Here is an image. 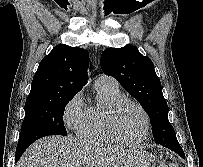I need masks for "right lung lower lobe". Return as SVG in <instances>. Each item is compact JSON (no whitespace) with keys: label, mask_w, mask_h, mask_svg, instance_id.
Returning a JSON list of instances; mask_svg holds the SVG:
<instances>
[{"label":"right lung lower lobe","mask_w":203,"mask_h":167,"mask_svg":"<svg viewBox=\"0 0 203 167\" xmlns=\"http://www.w3.org/2000/svg\"><path fill=\"white\" fill-rule=\"evenodd\" d=\"M28 146H24V147H20L18 149H16V161L19 160V158L21 157V155L23 154V152L26 150Z\"/></svg>","instance_id":"obj_1"}]
</instances>
